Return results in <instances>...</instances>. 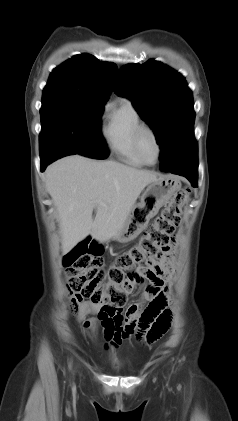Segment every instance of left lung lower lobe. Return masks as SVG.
I'll list each match as a JSON object with an SVG mask.
<instances>
[{"label": "left lung lower lobe", "mask_w": 238, "mask_h": 421, "mask_svg": "<svg viewBox=\"0 0 238 421\" xmlns=\"http://www.w3.org/2000/svg\"><path fill=\"white\" fill-rule=\"evenodd\" d=\"M173 174H178L186 177L193 186H197V175H198V160L197 154L189 159L188 161L168 170Z\"/></svg>", "instance_id": "left-lung-lower-lobe-1"}]
</instances>
